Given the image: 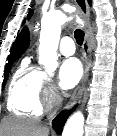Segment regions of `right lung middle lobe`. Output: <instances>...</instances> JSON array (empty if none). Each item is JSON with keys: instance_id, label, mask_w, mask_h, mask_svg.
<instances>
[{"instance_id": "obj_1", "label": "right lung middle lobe", "mask_w": 117, "mask_h": 136, "mask_svg": "<svg viewBox=\"0 0 117 136\" xmlns=\"http://www.w3.org/2000/svg\"><path fill=\"white\" fill-rule=\"evenodd\" d=\"M16 61V59L8 60V63L6 64V69L4 72V80H3V87L5 86L6 80L8 78L9 71L11 69V65Z\"/></svg>"}]
</instances>
